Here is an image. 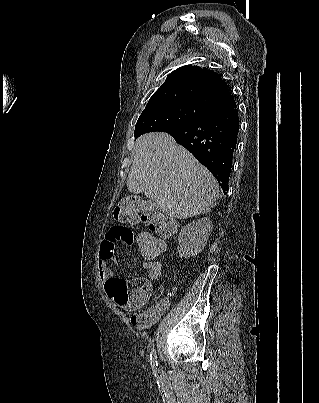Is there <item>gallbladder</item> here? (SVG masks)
<instances>
[{
    "instance_id": "obj_1",
    "label": "gallbladder",
    "mask_w": 319,
    "mask_h": 403,
    "mask_svg": "<svg viewBox=\"0 0 319 403\" xmlns=\"http://www.w3.org/2000/svg\"><path fill=\"white\" fill-rule=\"evenodd\" d=\"M142 209H146V210H148V211H150V210L152 209V210L157 211V210H158V206H157L156 204L152 203V202H146V203H145V206H143Z\"/></svg>"
}]
</instances>
